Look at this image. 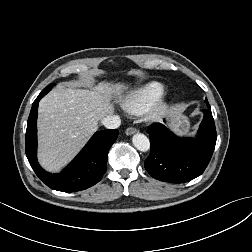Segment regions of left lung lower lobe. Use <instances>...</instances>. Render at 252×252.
Segmentation results:
<instances>
[{"mask_svg": "<svg viewBox=\"0 0 252 252\" xmlns=\"http://www.w3.org/2000/svg\"><path fill=\"white\" fill-rule=\"evenodd\" d=\"M204 112L196 139L180 138L163 124L148 129L151 150L144 165L153 178L170 183H185L204 172L217 139L209 104Z\"/></svg>", "mask_w": 252, "mask_h": 252, "instance_id": "1", "label": "left lung lower lobe"}]
</instances>
